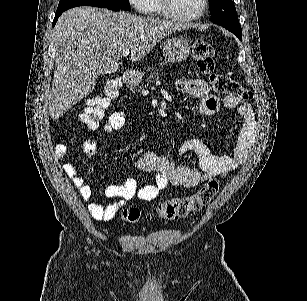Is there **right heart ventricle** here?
<instances>
[{
	"instance_id": "1",
	"label": "right heart ventricle",
	"mask_w": 307,
	"mask_h": 301,
	"mask_svg": "<svg viewBox=\"0 0 307 301\" xmlns=\"http://www.w3.org/2000/svg\"><path fill=\"white\" fill-rule=\"evenodd\" d=\"M164 3L162 0H151L150 8H163Z\"/></svg>"
}]
</instances>
